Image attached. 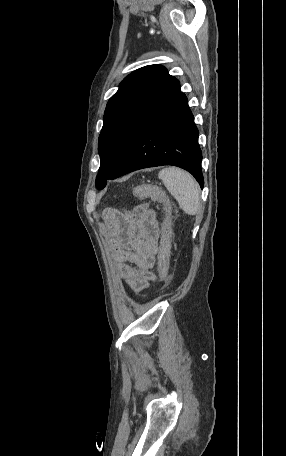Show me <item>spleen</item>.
Wrapping results in <instances>:
<instances>
[{"instance_id": "1", "label": "spleen", "mask_w": 286, "mask_h": 456, "mask_svg": "<svg viewBox=\"0 0 286 456\" xmlns=\"http://www.w3.org/2000/svg\"><path fill=\"white\" fill-rule=\"evenodd\" d=\"M158 177L186 214L198 213L201 205L200 187L190 173L176 167H168L162 169Z\"/></svg>"}]
</instances>
